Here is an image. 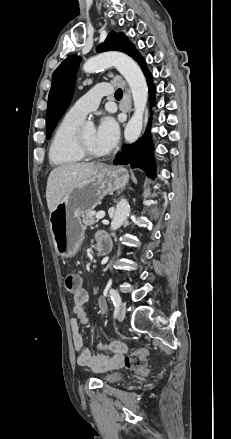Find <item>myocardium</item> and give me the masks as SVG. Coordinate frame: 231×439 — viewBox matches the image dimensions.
I'll list each match as a JSON object with an SVG mask.
<instances>
[{
  "instance_id": "1",
  "label": "myocardium",
  "mask_w": 231,
  "mask_h": 439,
  "mask_svg": "<svg viewBox=\"0 0 231 439\" xmlns=\"http://www.w3.org/2000/svg\"><path fill=\"white\" fill-rule=\"evenodd\" d=\"M74 143L75 147L78 150V152L84 157V158H101L104 156V153H95L91 149L88 148V146L85 144L83 138H82V129H78L75 137H74Z\"/></svg>"
}]
</instances>
